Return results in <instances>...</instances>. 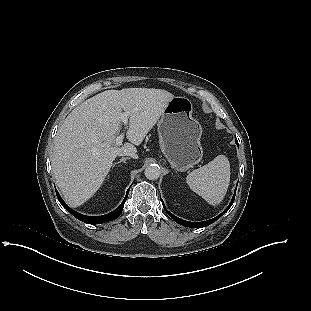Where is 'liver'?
<instances>
[{
	"label": "liver",
	"instance_id": "obj_1",
	"mask_svg": "<svg viewBox=\"0 0 311 311\" xmlns=\"http://www.w3.org/2000/svg\"><path fill=\"white\" fill-rule=\"evenodd\" d=\"M174 98L162 89L127 88L101 92L75 107L54 139L52 171L65 200L82 205L102 186L113 161L137 152L147 133ZM122 111L129 112L127 139L117 145Z\"/></svg>",
	"mask_w": 311,
	"mask_h": 311
}]
</instances>
